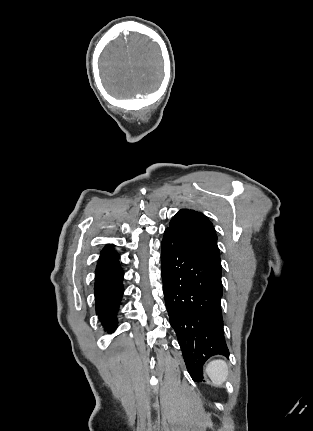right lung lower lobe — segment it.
<instances>
[{
  "instance_id": "1",
  "label": "right lung lower lobe",
  "mask_w": 313,
  "mask_h": 431,
  "mask_svg": "<svg viewBox=\"0 0 313 431\" xmlns=\"http://www.w3.org/2000/svg\"><path fill=\"white\" fill-rule=\"evenodd\" d=\"M119 257L113 246L107 245L101 252L95 271L96 314L107 333L114 332L117 327V313L124 292V272Z\"/></svg>"
}]
</instances>
